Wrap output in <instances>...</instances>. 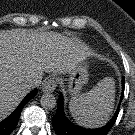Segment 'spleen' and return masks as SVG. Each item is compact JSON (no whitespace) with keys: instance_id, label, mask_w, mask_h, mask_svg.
Returning a JSON list of instances; mask_svg holds the SVG:
<instances>
[{"instance_id":"1","label":"spleen","mask_w":135,"mask_h":135,"mask_svg":"<svg viewBox=\"0 0 135 135\" xmlns=\"http://www.w3.org/2000/svg\"><path fill=\"white\" fill-rule=\"evenodd\" d=\"M114 102L115 81L112 77H105L90 91L71 99L69 110L78 125L98 128L109 120Z\"/></svg>"}]
</instances>
